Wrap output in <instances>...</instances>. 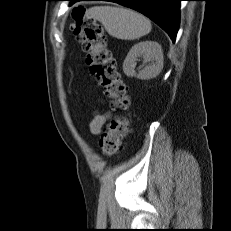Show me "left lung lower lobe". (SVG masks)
Here are the masks:
<instances>
[{
  "label": "left lung lower lobe",
  "instance_id": "obj_1",
  "mask_svg": "<svg viewBox=\"0 0 231 231\" xmlns=\"http://www.w3.org/2000/svg\"><path fill=\"white\" fill-rule=\"evenodd\" d=\"M70 5L78 1H111L137 10L164 29L175 41L179 27V5L182 0H67Z\"/></svg>",
  "mask_w": 231,
  "mask_h": 231
}]
</instances>
